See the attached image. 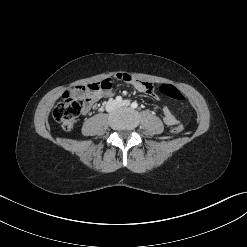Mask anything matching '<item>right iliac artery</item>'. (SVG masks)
Masks as SVG:
<instances>
[{"mask_svg":"<svg viewBox=\"0 0 247 247\" xmlns=\"http://www.w3.org/2000/svg\"><path fill=\"white\" fill-rule=\"evenodd\" d=\"M116 101H117L118 103L122 102V97H121V96H117V97H116Z\"/></svg>","mask_w":247,"mask_h":247,"instance_id":"82829eb1","label":"right iliac artery"}]
</instances>
